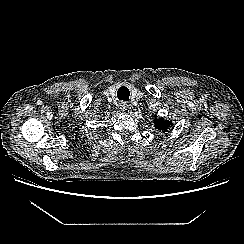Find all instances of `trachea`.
<instances>
[{"mask_svg": "<svg viewBox=\"0 0 244 244\" xmlns=\"http://www.w3.org/2000/svg\"><path fill=\"white\" fill-rule=\"evenodd\" d=\"M129 96H130V93H129V90L127 87L125 86H122L118 89L117 91V97L119 100H123V101H128L129 100Z\"/></svg>", "mask_w": 244, "mask_h": 244, "instance_id": "1", "label": "trachea"}]
</instances>
